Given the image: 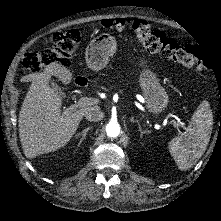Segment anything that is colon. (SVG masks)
<instances>
[{
    "mask_svg": "<svg viewBox=\"0 0 221 221\" xmlns=\"http://www.w3.org/2000/svg\"><path fill=\"white\" fill-rule=\"evenodd\" d=\"M101 26L105 30L115 32L131 29L148 52L174 62L193 66L200 72L207 70V61L198 48L180 45L165 33L155 30L149 23L140 19H105L101 22ZM80 42L81 35L76 30L56 33L51 38L49 47L27 53L21 61V68L25 70V74H30L36 73L44 67L65 65L64 61L73 56Z\"/></svg>",
    "mask_w": 221,
    "mask_h": 221,
    "instance_id": "5ec220e1",
    "label": "colon"
}]
</instances>
